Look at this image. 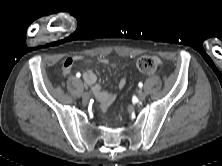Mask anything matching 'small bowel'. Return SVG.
Wrapping results in <instances>:
<instances>
[{"label":"small bowel","mask_w":222,"mask_h":166,"mask_svg":"<svg viewBox=\"0 0 222 166\" xmlns=\"http://www.w3.org/2000/svg\"><path fill=\"white\" fill-rule=\"evenodd\" d=\"M84 59L85 58L83 56L68 57L63 63V68H62L63 73L65 75L69 74L73 65H74V63L76 61L84 60ZM99 61L103 64L108 63V61L104 58L100 59ZM112 66L115 67L114 64ZM83 79H84L85 83L91 88V90L93 91L97 100L101 103L102 110L105 111L115 100V97H116L115 93L104 90L97 83L96 74L90 69H86L83 72ZM125 85H126V79L121 78L118 82L119 89L124 88Z\"/></svg>","instance_id":"small-bowel-1"}]
</instances>
